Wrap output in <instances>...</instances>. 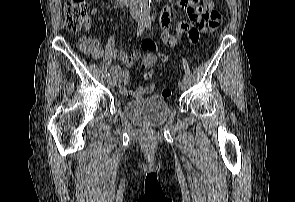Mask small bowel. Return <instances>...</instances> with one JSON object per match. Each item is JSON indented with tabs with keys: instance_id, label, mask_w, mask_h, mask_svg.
Listing matches in <instances>:
<instances>
[{
	"instance_id": "1",
	"label": "small bowel",
	"mask_w": 295,
	"mask_h": 202,
	"mask_svg": "<svg viewBox=\"0 0 295 202\" xmlns=\"http://www.w3.org/2000/svg\"><path fill=\"white\" fill-rule=\"evenodd\" d=\"M214 6L215 4L212 0H178V2L175 4L165 6L160 14L161 25L163 29V42L168 46H173L177 43L182 35H186L187 40L190 43H195L199 37L200 30L205 27L207 21L209 20V15ZM176 9L186 10L189 15V20L179 22L174 31L171 32V14ZM97 14V8H92L90 10L91 17H95ZM87 20L88 24L86 28H90L91 21L90 19ZM82 42H86L91 46V49L86 51L88 54H91L96 58L102 55V49L100 48L96 38L87 36L82 38ZM152 48H159V43H154L153 41L149 40L142 43L143 50H151ZM138 57V51L133 52L131 55H127L124 51L118 49H110L108 51L109 59H119L123 61L127 67L132 66ZM158 58L162 62L169 61V57L165 55H157V60ZM110 72L116 80L120 93L128 99L138 100L154 91L144 90V86H139L135 89H129L127 87L129 73L127 70H123L119 66L112 65L110 67ZM152 77L153 75H147V71L143 73V78L145 80H150Z\"/></svg>"
}]
</instances>
